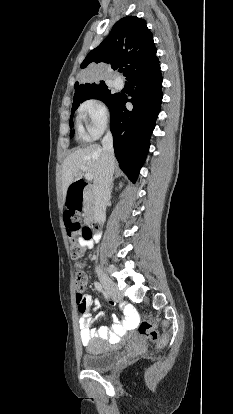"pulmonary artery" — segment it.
Returning <instances> with one entry per match:
<instances>
[{
	"label": "pulmonary artery",
	"mask_w": 233,
	"mask_h": 414,
	"mask_svg": "<svg viewBox=\"0 0 233 414\" xmlns=\"http://www.w3.org/2000/svg\"><path fill=\"white\" fill-rule=\"evenodd\" d=\"M114 86H115L117 89H122V88H123V86H124V83H123V81H122V80H120V79H116V80L114 81Z\"/></svg>",
	"instance_id": "e3ab8cb5"
}]
</instances>
